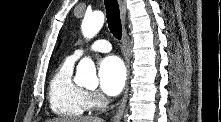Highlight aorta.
Here are the masks:
<instances>
[{
	"mask_svg": "<svg viewBox=\"0 0 221 122\" xmlns=\"http://www.w3.org/2000/svg\"><path fill=\"white\" fill-rule=\"evenodd\" d=\"M103 23L104 14L101 11H95L85 16L81 26L84 37H94L102 28ZM75 82L86 87H91L98 83L96 68L90 58L85 57L79 62Z\"/></svg>",
	"mask_w": 221,
	"mask_h": 122,
	"instance_id": "762f6f07",
	"label": "aorta"
}]
</instances>
